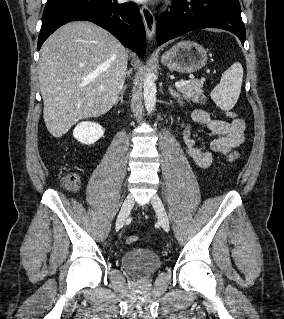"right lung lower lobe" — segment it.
<instances>
[{
  "instance_id": "98d812e1",
  "label": "right lung lower lobe",
  "mask_w": 284,
  "mask_h": 319,
  "mask_svg": "<svg viewBox=\"0 0 284 319\" xmlns=\"http://www.w3.org/2000/svg\"><path fill=\"white\" fill-rule=\"evenodd\" d=\"M71 21L93 22L140 56L145 53V29L138 7L134 3L118 4L117 0H47L38 50L56 29Z\"/></svg>"
}]
</instances>
